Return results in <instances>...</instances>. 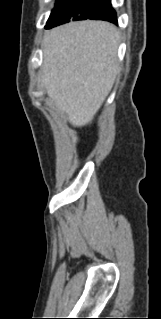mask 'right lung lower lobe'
Segmentation results:
<instances>
[{
  "instance_id": "98d812e1",
  "label": "right lung lower lobe",
  "mask_w": 161,
  "mask_h": 319,
  "mask_svg": "<svg viewBox=\"0 0 161 319\" xmlns=\"http://www.w3.org/2000/svg\"><path fill=\"white\" fill-rule=\"evenodd\" d=\"M86 19L106 20L117 24L116 12L113 9L110 0H102L98 8L87 16Z\"/></svg>"
}]
</instances>
